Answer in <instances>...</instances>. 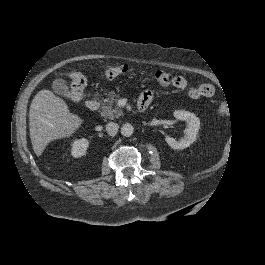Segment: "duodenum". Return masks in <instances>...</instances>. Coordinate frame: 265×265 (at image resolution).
I'll return each instance as SVG.
<instances>
[{"instance_id":"1","label":"duodenum","mask_w":265,"mask_h":265,"mask_svg":"<svg viewBox=\"0 0 265 265\" xmlns=\"http://www.w3.org/2000/svg\"><path fill=\"white\" fill-rule=\"evenodd\" d=\"M85 106L90 111H96L99 107V101L97 98H94V97L89 98L86 100ZM137 108L139 112H143L147 108V106L144 104L138 103Z\"/></svg>"}]
</instances>
